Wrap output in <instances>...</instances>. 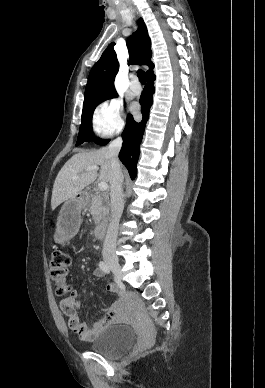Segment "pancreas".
Segmentation results:
<instances>
[{"label": "pancreas", "instance_id": "1", "mask_svg": "<svg viewBox=\"0 0 265 388\" xmlns=\"http://www.w3.org/2000/svg\"><path fill=\"white\" fill-rule=\"evenodd\" d=\"M109 206L108 198H101L99 192H97L96 196H92L89 212L92 214L95 224H100L101 220L106 218L107 214H109Z\"/></svg>", "mask_w": 265, "mask_h": 388}]
</instances>
